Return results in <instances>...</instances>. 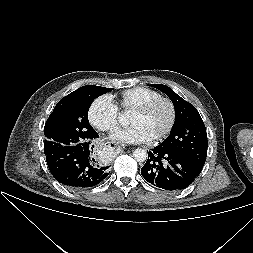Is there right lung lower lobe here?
<instances>
[{
	"label": "right lung lower lobe",
	"mask_w": 253,
	"mask_h": 253,
	"mask_svg": "<svg viewBox=\"0 0 253 253\" xmlns=\"http://www.w3.org/2000/svg\"><path fill=\"white\" fill-rule=\"evenodd\" d=\"M97 137L95 131L94 137L86 142L45 154L48 168L59 183L71 188H88L101 183L109 175V166L98 159L94 150Z\"/></svg>",
	"instance_id": "obj_1"
}]
</instances>
